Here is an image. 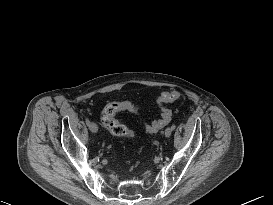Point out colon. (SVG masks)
Listing matches in <instances>:
<instances>
[{
    "instance_id": "obj_1",
    "label": "colon",
    "mask_w": 273,
    "mask_h": 205,
    "mask_svg": "<svg viewBox=\"0 0 273 205\" xmlns=\"http://www.w3.org/2000/svg\"><path fill=\"white\" fill-rule=\"evenodd\" d=\"M183 98V95L177 91L164 92L158 97V104L160 106V118L146 125V130L149 133H156L165 126H167L172 119V111L166 105ZM127 108L130 112L137 113L138 109L135 106L127 107L121 102L108 104L100 114V121L102 125L113 135L120 137H133L134 133L131 129L121 124L115 115Z\"/></svg>"
}]
</instances>
